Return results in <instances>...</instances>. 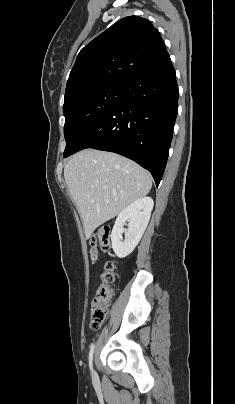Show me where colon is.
<instances>
[{"instance_id":"5ec220e1","label":"colon","mask_w":235,"mask_h":404,"mask_svg":"<svg viewBox=\"0 0 235 404\" xmlns=\"http://www.w3.org/2000/svg\"><path fill=\"white\" fill-rule=\"evenodd\" d=\"M97 246L104 250L111 248V233L109 227L96 231L90 239V257L92 261L97 259ZM114 266L107 263L101 276V285L91 305L90 326L98 329L102 326L107 313L110 301L113 297V283L115 281Z\"/></svg>"}]
</instances>
